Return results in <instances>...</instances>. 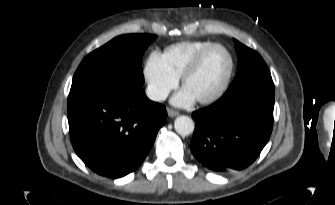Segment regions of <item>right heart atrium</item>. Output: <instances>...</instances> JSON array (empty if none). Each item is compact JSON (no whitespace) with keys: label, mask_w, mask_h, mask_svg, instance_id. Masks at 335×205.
<instances>
[{"label":"right heart atrium","mask_w":335,"mask_h":205,"mask_svg":"<svg viewBox=\"0 0 335 205\" xmlns=\"http://www.w3.org/2000/svg\"><path fill=\"white\" fill-rule=\"evenodd\" d=\"M143 77L147 94L154 101L163 100L179 81V77L168 68L162 55L158 52H152L147 57Z\"/></svg>","instance_id":"obj_1"}]
</instances>
